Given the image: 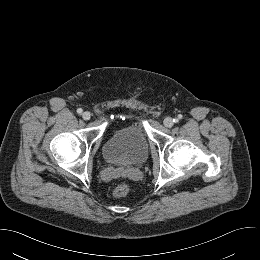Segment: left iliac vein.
<instances>
[{
    "label": "left iliac vein",
    "mask_w": 260,
    "mask_h": 260,
    "mask_svg": "<svg viewBox=\"0 0 260 260\" xmlns=\"http://www.w3.org/2000/svg\"><path fill=\"white\" fill-rule=\"evenodd\" d=\"M174 124L173 119L171 117H166L164 119V125L168 128L172 127Z\"/></svg>",
    "instance_id": "obj_1"
}]
</instances>
